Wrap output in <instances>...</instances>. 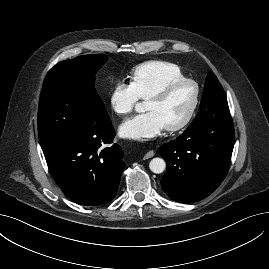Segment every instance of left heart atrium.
<instances>
[{
	"label": "left heart atrium",
	"mask_w": 269,
	"mask_h": 269,
	"mask_svg": "<svg viewBox=\"0 0 269 269\" xmlns=\"http://www.w3.org/2000/svg\"><path fill=\"white\" fill-rule=\"evenodd\" d=\"M165 128L162 119L155 112L148 111L123 122L119 133L128 139L148 140L161 134Z\"/></svg>",
	"instance_id": "obj_1"
}]
</instances>
